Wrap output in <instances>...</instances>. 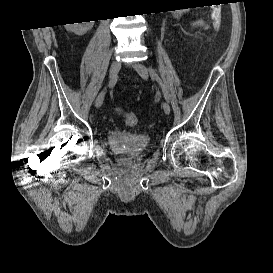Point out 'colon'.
<instances>
[{
  "label": "colon",
  "instance_id": "5ec220e1",
  "mask_svg": "<svg viewBox=\"0 0 273 273\" xmlns=\"http://www.w3.org/2000/svg\"><path fill=\"white\" fill-rule=\"evenodd\" d=\"M214 27L216 29V31H219L221 28V23H220V19L217 15L214 16ZM118 112L120 114H122L123 118H124V122L127 126L129 127H133L136 126L138 123L137 117L133 114V113H123L120 109L118 110Z\"/></svg>",
  "mask_w": 273,
  "mask_h": 273
}]
</instances>
